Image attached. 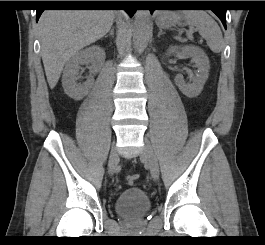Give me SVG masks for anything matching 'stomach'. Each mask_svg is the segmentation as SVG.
Returning <instances> with one entry per match:
<instances>
[{
    "mask_svg": "<svg viewBox=\"0 0 265 245\" xmlns=\"http://www.w3.org/2000/svg\"><path fill=\"white\" fill-rule=\"evenodd\" d=\"M182 15L176 12H163L157 18V23L162 28H170L181 24Z\"/></svg>",
    "mask_w": 265,
    "mask_h": 245,
    "instance_id": "obj_1",
    "label": "stomach"
}]
</instances>
